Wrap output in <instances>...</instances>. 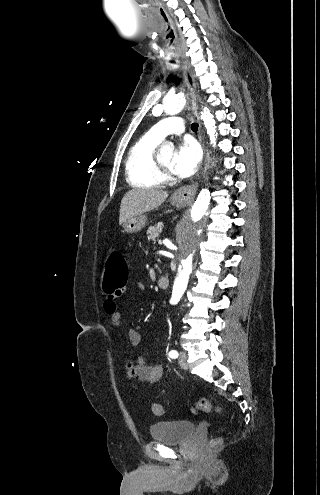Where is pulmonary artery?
Here are the masks:
<instances>
[{
	"label": "pulmonary artery",
	"instance_id": "e3ab8cb5",
	"mask_svg": "<svg viewBox=\"0 0 320 495\" xmlns=\"http://www.w3.org/2000/svg\"><path fill=\"white\" fill-rule=\"evenodd\" d=\"M184 120L178 116H171L159 121L149 133L155 138L162 140L169 134H180L184 131Z\"/></svg>",
	"mask_w": 320,
	"mask_h": 495
}]
</instances>
